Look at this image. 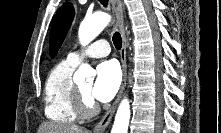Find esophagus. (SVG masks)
<instances>
[{
    "mask_svg": "<svg viewBox=\"0 0 221 133\" xmlns=\"http://www.w3.org/2000/svg\"><path fill=\"white\" fill-rule=\"evenodd\" d=\"M111 5L113 11L117 18V27L122 37V47L120 50V59H121V66H122V83L119 90V93L112 105V107L106 112L104 117L99 121V123L94 127V133H103L106 128L108 127L109 123L112 120V117L115 113L117 105L121 99V96L124 92L127 80V62H126V49H127V39L125 33V26H124V14H123V3L121 0H111Z\"/></svg>",
    "mask_w": 221,
    "mask_h": 133,
    "instance_id": "1",
    "label": "esophagus"
}]
</instances>
